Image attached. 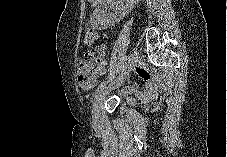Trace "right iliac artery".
I'll return each mask as SVG.
<instances>
[{
  "instance_id": "1",
  "label": "right iliac artery",
  "mask_w": 227,
  "mask_h": 157,
  "mask_svg": "<svg viewBox=\"0 0 227 157\" xmlns=\"http://www.w3.org/2000/svg\"><path fill=\"white\" fill-rule=\"evenodd\" d=\"M129 58L126 56L123 60V62L121 63V65H118V69L115 70L116 74L120 73V70H125L126 65H128ZM113 78H114V74H113ZM109 80H106L104 82H102L98 88L96 89L95 93H94V100L98 97V95L100 94V92L106 87V85L108 84Z\"/></svg>"
}]
</instances>
